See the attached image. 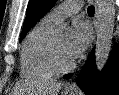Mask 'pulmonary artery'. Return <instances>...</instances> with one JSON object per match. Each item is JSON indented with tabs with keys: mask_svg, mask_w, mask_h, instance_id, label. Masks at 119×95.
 <instances>
[{
	"mask_svg": "<svg viewBox=\"0 0 119 95\" xmlns=\"http://www.w3.org/2000/svg\"><path fill=\"white\" fill-rule=\"evenodd\" d=\"M82 8V2L78 0H69L60 4L51 10L46 16L54 21H60L71 15L77 14Z\"/></svg>",
	"mask_w": 119,
	"mask_h": 95,
	"instance_id": "e3ab8cb5",
	"label": "pulmonary artery"
}]
</instances>
